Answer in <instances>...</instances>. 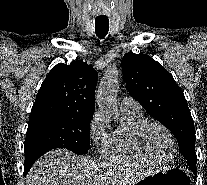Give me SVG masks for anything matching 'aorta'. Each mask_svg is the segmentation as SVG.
<instances>
[{
    "instance_id": "obj_1",
    "label": "aorta",
    "mask_w": 207,
    "mask_h": 185,
    "mask_svg": "<svg viewBox=\"0 0 207 185\" xmlns=\"http://www.w3.org/2000/svg\"><path fill=\"white\" fill-rule=\"evenodd\" d=\"M118 79V70L115 67H108L98 85L96 94L97 105L101 111L111 112L114 110L119 88Z\"/></svg>"
}]
</instances>
